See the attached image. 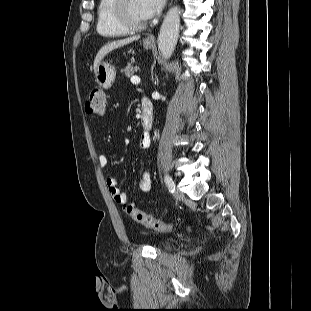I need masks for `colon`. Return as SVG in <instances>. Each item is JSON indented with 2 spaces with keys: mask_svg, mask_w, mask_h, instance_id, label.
I'll use <instances>...</instances> for the list:
<instances>
[{
  "mask_svg": "<svg viewBox=\"0 0 311 311\" xmlns=\"http://www.w3.org/2000/svg\"><path fill=\"white\" fill-rule=\"evenodd\" d=\"M107 99L106 94L102 89H93L85 103V111L90 115L102 116L107 112ZM125 211L128 217L135 222L154 229L159 232H170L173 230V226L169 223L157 220L152 215L138 209L132 204H125Z\"/></svg>",
  "mask_w": 311,
  "mask_h": 311,
  "instance_id": "obj_1",
  "label": "colon"
}]
</instances>
